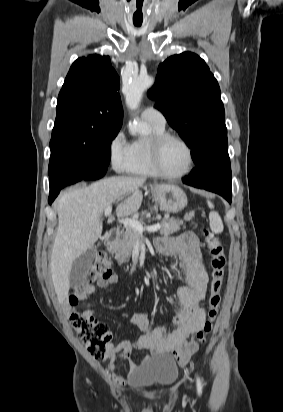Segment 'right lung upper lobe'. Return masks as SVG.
Masks as SVG:
<instances>
[{
  "label": "right lung upper lobe",
  "mask_w": 283,
  "mask_h": 412,
  "mask_svg": "<svg viewBox=\"0 0 283 412\" xmlns=\"http://www.w3.org/2000/svg\"><path fill=\"white\" fill-rule=\"evenodd\" d=\"M109 61L108 56L90 55L72 64L58 96L56 119L77 117L100 131L120 130L119 77Z\"/></svg>",
  "instance_id": "obj_1"
}]
</instances>
